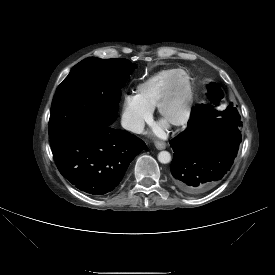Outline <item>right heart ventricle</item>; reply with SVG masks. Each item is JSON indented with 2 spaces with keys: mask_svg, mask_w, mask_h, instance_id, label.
<instances>
[{
  "mask_svg": "<svg viewBox=\"0 0 275 275\" xmlns=\"http://www.w3.org/2000/svg\"><path fill=\"white\" fill-rule=\"evenodd\" d=\"M175 68L158 71L136 87L135 96L147 108L153 110L156 103L169 83Z\"/></svg>",
  "mask_w": 275,
  "mask_h": 275,
  "instance_id": "obj_1",
  "label": "right heart ventricle"
}]
</instances>
